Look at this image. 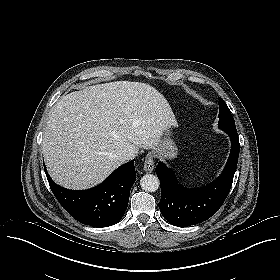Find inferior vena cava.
I'll list each match as a JSON object with an SVG mask.
<instances>
[{
  "mask_svg": "<svg viewBox=\"0 0 280 280\" xmlns=\"http://www.w3.org/2000/svg\"><path fill=\"white\" fill-rule=\"evenodd\" d=\"M136 156V152L135 151H127L122 155V159L123 161H129L134 159Z\"/></svg>",
  "mask_w": 280,
  "mask_h": 280,
  "instance_id": "602c4592",
  "label": "inferior vena cava"
}]
</instances>
